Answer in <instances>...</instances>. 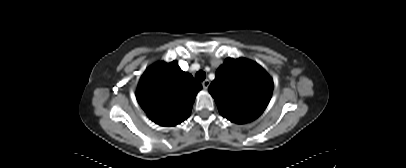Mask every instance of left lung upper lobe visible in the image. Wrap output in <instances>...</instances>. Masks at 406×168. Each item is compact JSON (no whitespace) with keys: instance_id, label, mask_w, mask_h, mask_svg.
Returning a JSON list of instances; mask_svg holds the SVG:
<instances>
[{"instance_id":"1","label":"left lung upper lobe","mask_w":406,"mask_h":168,"mask_svg":"<svg viewBox=\"0 0 406 168\" xmlns=\"http://www.w3.org/2000/svg\"><path fill=\"white\" fill-rule=\"evenodd\" d=\"M272 91L273 80L268 73L256 62L245 58H227L209 86L220 114L238 124L260 116Z\"/></svg>"}]
</instances>
